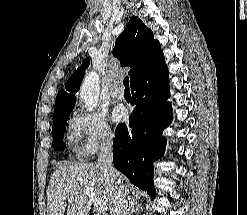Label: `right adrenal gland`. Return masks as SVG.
Instances as JSON below:
<instances>
[{"mask_svg": "<svg viewBox=\"0 0 247 215\" xmlns=\"http://www.w3.org/2000/svg\"><path fill=\"white\" fill-rule=\"evenodd\" d=\"M140 210H143L141 205H137V203L131 199L129 202V214L128 215H132L135 211L139 212Z\"/></svg>", "mask_w": 247, "mask_h": 215, "instance_id": "right-adrenal-gland-1", "label": "right adrenal gland"}]
</instances>
